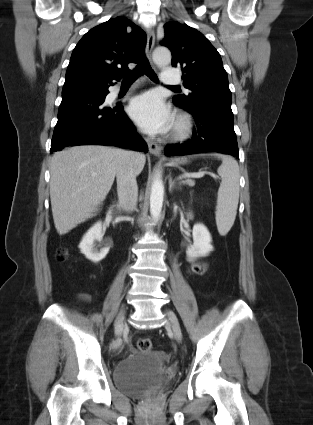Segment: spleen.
<instances>
[{
    "mask_svg": "<svg viewBox=\"0 0 313 425\" xmlns=\"http://www.w3.org/2000/svg\"><path fill=\"white\" fill-rule=\"evenodd\" d=\"M222 159L218 168L221 184L218 190L216 224L220 235H226L234 224L239 202V166L237 161L224 154H215Z\"/></svg>",
    "mask_w": 313,
    "mask_h": 425,
    "instance_id": "spleen-1",
    "label": "spleen"
}]
</instances>
